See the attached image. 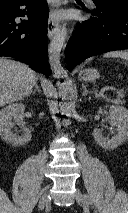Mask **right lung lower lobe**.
<instances>
[{"label": "right lung lower lobe", "mask_w": 128, "mask_h": 213, "mask_svg": "<svg viewBox=\"0 0 128 213\" xmlns=\"http://www.w3.org/2000/svg\"><path fill=\"white\" fill-rule=\"evenodd\" d=\"M26 6L27 10L20 9ZM28 20L15 22L16 17ZM46 0H15L0 4V56L20 59L33 69L50 75L47 63Z\"/></svg>", "instance_id": "obj_1"}]
</instances>
